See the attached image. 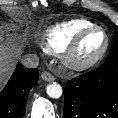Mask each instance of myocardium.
Here are the masks:
<instances>
[{
  "instance_id": "1",
  "label": "myocardium",
  "mask_w": 118,
  "mask_h": 118,
  "mask_svg": "<svg viewBox=\"0 0 118 118\" xmlns=\"http://www.w3.org/2000/svg\"><path fill=\"white\" fill-rule=\"evenodd\" d=\"M101 32L105 38V44L103 49L92 59L81 61L77 59L78 49L83 42V40L93 32ZM110 46V37L107 31L97 25L88 27L82 31H80L69 44V46L65 49L62 55V64L63 66L72 72H81L88 70L94 66H96L107 54Z\"/></svg>"
}]
</instances>
